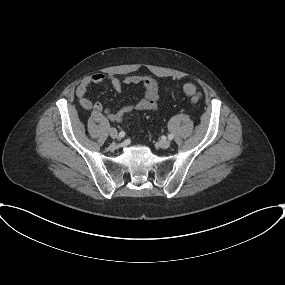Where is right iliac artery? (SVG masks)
I'll return each instance as SVG.
<instances>
[{
	"label": "right iliac artery",
	"mask_w": 285,
	"mask_h": 285,
	"mask_svg": "<svg viewBox=\"0 0 285 285\" xmlns=\"http://www.w3.org/2000/svg\"><path fill=\"white\" fill-rule=\"evenodd\" d=\"M119 136L122 138V137H124L125 136V132L124 131H121L120 133H119Z\"/></svg>",
	"instance_id": "82829eb1"
}]
</instances>
